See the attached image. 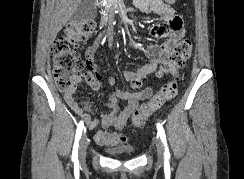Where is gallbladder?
I'll use <instances>...</instances> for the list:
<instances>
[{
  "label": "gallbladder",
  "mask_w": 244,
  "mask_h": 179,
  "mask_svg": "<svg viewBox=\"0 0 244 179\" xmlns=\"http://www.w3.org/2000/svg\"><path fill=\"white\" fill-rule=\"evenodd\" d=\"M94 18H96L95 0H81L71 20L74 24H79V22H87V20H94Z\"/></svg>",
  "instance_id": "gallbladder-1"
}]
</instances>
